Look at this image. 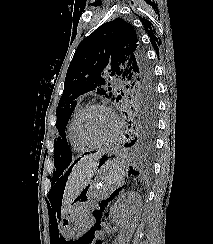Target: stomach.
Segmentation results:
<instances>
[{"label": "stomach", "mask_w": 213, "mask_h": 244, "mask_svg": "<svg viewBox=\"0 0 213 244\" xmlns=\"http://www.w3.org/2000/svg\"><path fill=\"white\" fill-rule=\"evenodd\" d=\"M118 154L121 149H105L88 185L72 201L60 222V231L73 236L86 229L88 205L94 199L110 196L119 189L127 174V167Z\"/></svg>", "instance_id": "stomach-1"}]
</instances>
